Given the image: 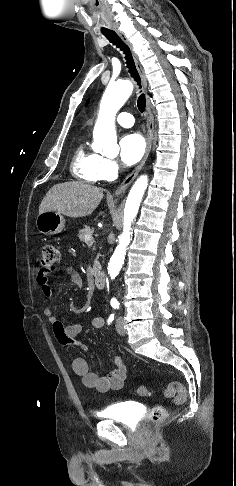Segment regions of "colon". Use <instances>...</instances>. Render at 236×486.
Here are the masks:
<instances>
[{
  "instance_id": "5ec220e1",
  "label": "colon",
  "mask_w": 236,
  "mask_h": 486,
  "mask_svg": "<svg viewBox=\"0 0 236 486\" xmlns=\"http://www.w3.org/2000/svg\"><path fill=\"white\" fill-rule=\"evenodd\" d=\"M60 257L59 250L54 245H45L41 250L40 255V266L41 269L50 271L54 268L55 264L58 262ZM136 393L139 396H149L150 389L146 386H138L136 388ZM163 395L167 398H173L174 403L181 405L187 400V390L186 388L177 381L170 382L166 385L163 391ZM168 412L165 407L157 405L154 406L146 419L144 428L150 430L153 426L161 423L167 417Z\"/></svg>"
}]
</instances>
